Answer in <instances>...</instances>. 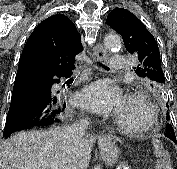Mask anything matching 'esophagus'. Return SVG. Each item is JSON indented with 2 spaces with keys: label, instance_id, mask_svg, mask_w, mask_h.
Listing matches in <instances>:
<instances>
[{
  "label": "esophagus",
  "instance_id": "1",
  "mask_svg": "<svg viewBox=\"0 0 177 169\" xmlns=\"http://www.w3.org/2000/svg\"><path fill=\"white\" fill-rule=\"evenodd\" d=\"M92 59H93V63L95 66H97L99 62H102L106 59V54H105L104 49L100 43L94 47ZM99 138L101 140H107V139L111 138V134L106 133V132H101L99 135Z\"/></svg>",
  "mask_w": 177,
  "mask_h": 169
}]
</instances>
